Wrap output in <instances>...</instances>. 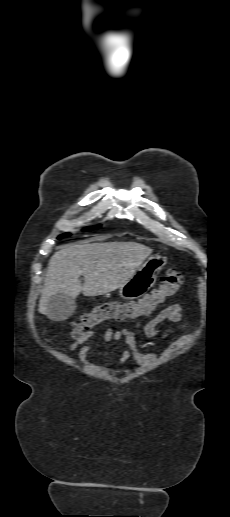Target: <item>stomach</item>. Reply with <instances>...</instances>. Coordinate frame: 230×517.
<instances>
[{"mask_svg": "<svg viewBox=\"0 0 230 517\" xmlns=\"http://www.w3.org/2000/svg\"><path fill=\"white\" fill-rule=\"evenodd\" d=\"M166 263L167 259L163 255L150 256L131 279L120 287V296L129 300L144 295L154 285L157 275Z\"/></svg>", "mask_w": 230, "mask_h": 517, "instance_id": "0dacf381", "label": "stomach"}]
</instances>
